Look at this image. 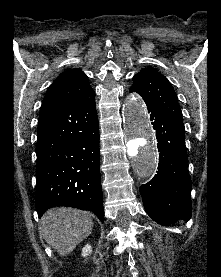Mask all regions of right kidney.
I'll use <instances>...</instances> for the list:
<instances>
[{"label": "right kidney", "mask_w": 221, "mask_h": 277, "mask_svg": "<svg viewBox=\"0 0 221 277\" xmlns=\"http://www.w3.org/2000/svg\"><path fill=\"white\" fill-rule=\"evenodd\" d=\"M91 252H92V247H91L89 244H87V245L84 246L83 249H82V256H83V257H86V256H88L89 254H91Z\"/></svg>", "instance_id": "1"}]
</instances>
